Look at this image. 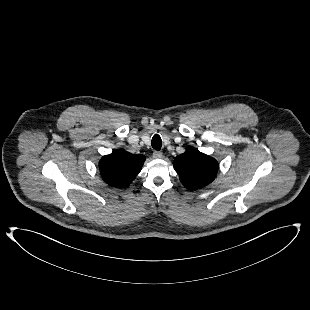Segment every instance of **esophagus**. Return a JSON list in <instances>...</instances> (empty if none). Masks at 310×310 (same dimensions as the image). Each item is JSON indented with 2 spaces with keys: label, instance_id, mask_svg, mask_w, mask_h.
<instances>
[{
  "label": "esophagus",
  "instance_id": "34e87169",
  "mask_svg": "<svg viewBox=\"0 0 310 310\" xmlns=\"http://www.w3.org/2000/svg\"><path fill=\"white\" fill-rule=\"evenodd\" d=\"M162 157H163L162 152H160V151H154V152H153V158H155V159H161Z\"/></svg>",
  "mask_w": 310,
  "mask_h": 310
}]
</instances>
